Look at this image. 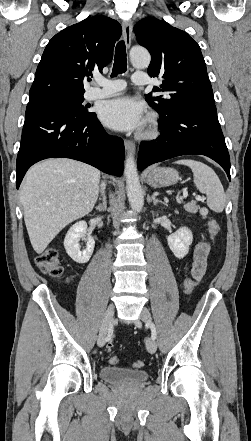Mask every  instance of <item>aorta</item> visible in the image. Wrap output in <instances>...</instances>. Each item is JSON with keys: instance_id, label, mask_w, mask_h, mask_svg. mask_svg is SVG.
Wrapping results in <instances>:
<instances>
[{"instance_id": "1", "label": "aorta", "mask_w": 251, "mask_h": 441, "mask_svg": "<svg viewBox=\"0 0 251 441\" xmlns=\"http://www.w3.org/2000/svg\"><path fill=\"white\" fill-rule=\"evenodd\" d=\"M130 58L136 68H147L150 64L151 56L143 48H132ZM124 174L127 184V196L131 208L135 212H140L144 205V194L139 182L137 166L132 154H128L125 160Z\"/></svg>"}]
</instances>
